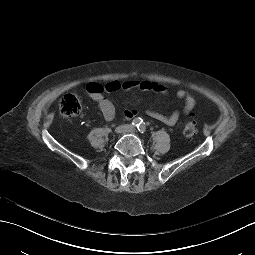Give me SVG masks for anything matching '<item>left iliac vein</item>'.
Segmentation results:
<instances>
[{
	"mask_svg": "<svg viewBox=\"0 0 255 255\" xmlns=\"http://www.w3.org/2000/svg\"><path fill=\"white\" fill-rule=\"evenodd\" d=\"M126 132H128V133H134V129L131 128V127H128L127 130H126Z\"/></svg>",
	"mask_w": 255,
	"mask_h": 255,
	"instance_id": "1",
	"label": "left iliac vein"
}]
</instances>
